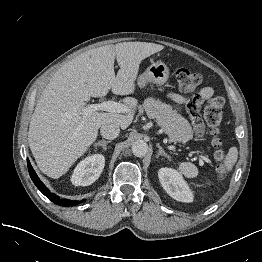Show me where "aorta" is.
<instances>
[{
    "instance_id": "obj_1",
    "label": "aorta",
    "mask_w": 262,
    "mask_h": 262,
    "mask_svg": "<svg viewBox=\"0 0 262 262\" xmlns=\"http://www.w3.org/2000/svg\"><path fill=\"white\" fill-rule=\"evenodd\" d=\"M132 153L136 156V157H143L147 154L148 152V145L146 142H144L143 140H139V141H135L132 144Z\"/></svg>"
}]
</instances>
